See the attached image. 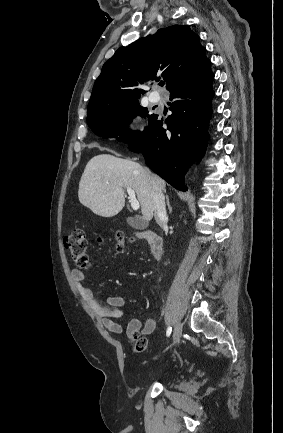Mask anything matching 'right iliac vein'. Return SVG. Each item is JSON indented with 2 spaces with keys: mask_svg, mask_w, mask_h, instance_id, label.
Returning <instances> with one entry per match:
<instances>
[{
  "mask_svg": "<svg viewBox=\"0 0 283 433\" xmlns=\"http://www.w3.org/2000/svg\"><path fill=\"white\" fill-rule=\"evenodd\" d=\"M182 325L181 323H176L173 331V345L177 344L181 337Z\"/></svg>",
  "mask_w": 283,
  "mask_h": 433,
  "instance_id": "63e3f726",
  "label": "right iliac vein"
}]
</instances>
